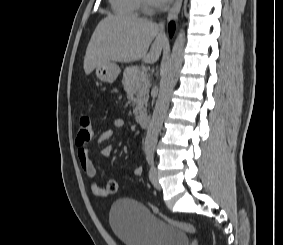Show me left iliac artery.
<instances>
[{
	"label": "left iliac artery",
	"instance_id": "1",
	"mask_svg": "<svg viewBox=\"0 0 283 245\" xmlns=\"http://www.w3.org/2000/svg\"><path fill=\"white\" fill-rule=\"evenodd\" d=\"M153 156H154V150L153 149H148L146 151V159H147V162L149 164H153Z\"/></svg>",
	"mask_w": 283,
	"mask_h": 245
}]
</instances>
